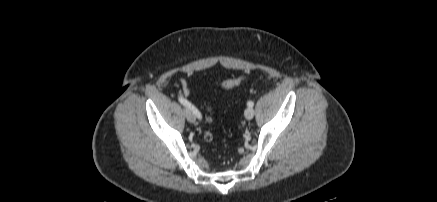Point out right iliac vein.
Returning <instances> with one entry per match:
<instances>
[{
	"mask_svg": "<svg viewBox=\"0 0 437 202\" xmlns=\"http://www.w3.org/2000/svg\"><path fill=\"white\" fill-rule=\"evenodd\" d=\"M186 119L190 122V123H195L196 122V117L195 114L193 112V110L191 108L186 107L184 110Z\"/></svg>",
	"mask_w": 437,
	"mask_h": 202,
	"instance_id": "63e3f726",
	"label": "right iliac vein"
}]
</instances>
